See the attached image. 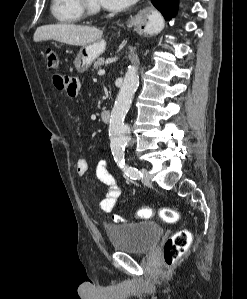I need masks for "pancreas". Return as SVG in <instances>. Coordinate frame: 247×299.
<instances>
[{"mask_svg":"<svg viewBox=\"0 0 247 299\" xmlns=\"http://www.w3.org/2000/svg\"><path fill=\"white\" fill-rule=\"evenodd\" d=\"M104 63H105L104 58H99V59L94 63V65H93V71H94V70H97V69H100L101 66L104 65Z\"/></svg>","mask_w":247,"mask_h":299,"instance_id":"obj_1","label":"pancreas"}]
</instances>
